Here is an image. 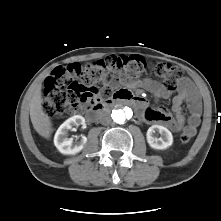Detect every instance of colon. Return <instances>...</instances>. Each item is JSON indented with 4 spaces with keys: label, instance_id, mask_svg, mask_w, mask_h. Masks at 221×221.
Instances as JSON below:
<instances>
[{
    "label": "colon",
    "instance_id": "5ec220e1",
    "mask_svg": "<svg viewBox=\"0 0 221 221\" xmlns=\"http://www.w3.org/2000/svg\"><path fill=\"white\" fill-rule=\"evenodd\" d=\"M122 70L129 79L150 71L167 90H173L184 71L179 66L156 62L149 64L139 56H109L85 66L69 64L55 68L46 79L43 90L42 110L49 117H62L72 110L94 102L98 97L97 85L105 81L110 71ZM190 133H183L180 140L187 143Z\"/></svg>",
    "mask_w": 221,
    "mask_h": 221
}]
</instances>
